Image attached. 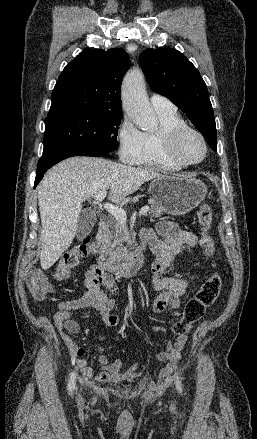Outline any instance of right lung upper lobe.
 I'll return each instance as SVG.
<instances>
[{
	"mask_svg": "<svg viewBox=\"0 0 257 439\" xmlns=\"http://www.w3.org/2000/svg\"><path fill=\"white\" fill-rule=\"evenodd\" d=\"M129 67L120 48L83 50L60 74L48 117L75 110L122 113L120 87Z\"/></svg>",
	"mask_w": 257,
	"mask_h": 439,
	"instance_id": "obj_1",
	"label": "right lung upper lobe"
}]
</instances>
